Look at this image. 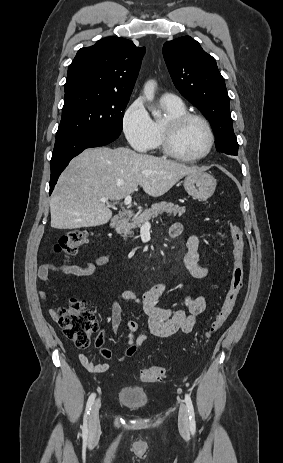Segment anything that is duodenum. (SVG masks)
I'll list each match as a JSON object with an SVG mask.
<instances>
[{
	"label": "duodenum",
	"instance_id": "obj_1",
	"mask_svg": "<svg viewBox=\"0 0 283 463\" xmlns=\"http://www.w3.org/2000/svg\"><path fill=\"white\" fill-rule=\"evenodd\" d=\"M133 216V211L131 209H126L118 213L110 223V228L116 230L120 228L124 223L131 219Z\"/></svg>",
	"mask_w": 283,
	"mask_h": 463
}]
</instances>
